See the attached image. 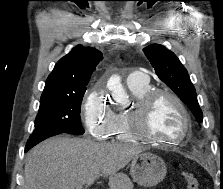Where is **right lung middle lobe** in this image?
I'll return each mask as SVG.
<instances>
[{"label": "right lung middle lobe", "mask_w": 223, "mask_h": 189, "mask_svg": "<svg viewBox=\"0 0 223 189\" xmlns=\"http://www.w3.org/2000/svg\"><path fill=\"white\" fill-rule=\"evenodd\" d=\"M86 88L76 92L42 94L33 134L62 132L84 134L80 108Z\"/></svg>", "instance_id": "obj_1"}]
</instances>
